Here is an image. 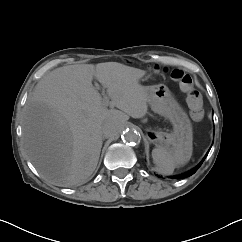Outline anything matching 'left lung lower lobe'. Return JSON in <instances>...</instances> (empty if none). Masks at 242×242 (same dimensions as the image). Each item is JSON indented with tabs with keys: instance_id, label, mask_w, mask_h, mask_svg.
Here are the masks:
<instances>
[{
	"instance_id": "1",
	"label": "left lung lower lobe",
	"mask_w": 242,
	"mask_h": 242,
	"mask_svg": "<svg viewBox=\"0 0 242 242\" xmlns=\"http://www.w3.org/2000/svg\"><path fill=\"white\" fill-rule=\"evenodd\" d=\"M207 154H208V153H207ZM207 154H206V156H207ZM206 156L204 157V159L206 158ZM204 159L201 161V163H200V164H199V165H198L193 171H191L190 173H187V174H185V175H182V176H180V177H177V179H183V178H185V177H188V176L194 174V173L197 171V169L201 166V164L203 163Z\"/></svg>"
}]
</instances>
